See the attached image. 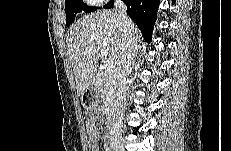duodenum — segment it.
Listing matches in <instances>:
<instances>
[{"mask_svg": "<svg viewBox=\"0 0 231 151\" xmlns=\"http://www.w3.org/2000/svg\"><path fill=\"white\" fill-rule=\"evenodd\" d=\"M106 117H107V122H108V125H109V129H110L111 126H112V123H113V113L111 111H108L107 114H106ZM107 138H109V135L107 136Z\"/></svg>", "mask_w": 231, "mask_h": 151, "instance_id": "410a0bca", "label": "duodenum"}]
</instances>
